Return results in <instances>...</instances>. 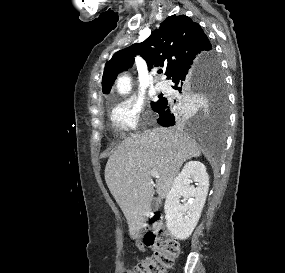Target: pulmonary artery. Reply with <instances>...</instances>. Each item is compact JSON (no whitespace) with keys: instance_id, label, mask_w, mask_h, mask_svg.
Segmentation results:
<instances>
[{"instance_id":"e3ab8cb5","label":"pulmonary artery","mask_w":285,"mask_h":273,"mask_svg":"<svg viewBox=\"0 0 285 273\" xmlns=\"http://www.w3.org/2000/svg\"><path fill=\"white\" fill-rule=\"evenodd\" d=\"M155 88L158 91H165V90H167L169 88V85L166 82H164V81H158L155 84Z\"/></svg>"}]
</instances>
